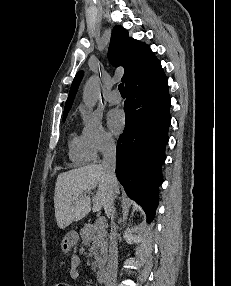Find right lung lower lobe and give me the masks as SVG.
Wrapping results in <instances>:
<instances>
[{
    "label": "right lung lower lobe",
    "instance_id": "1",
    "mask_svg": "<svg viewBox=\"0 0 231 286\" xmlns=\"http://www.w3.org/2000/svg\"><path fill=\"white\" fill-rule=\"evenodd\" d=\"M126 92V124L116 147V176L151 222L171 123L168 80L160 68L128 83Z\"/></svg>",
    "mask_w": 231,
    "mask_h": 286
}]
</instances>
